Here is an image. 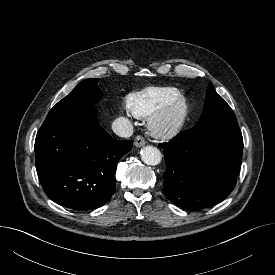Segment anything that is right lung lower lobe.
I'll use <instances>...</instances> for the list:
<instances>
[{
  "label": "right lung lower lobe",
  "mask_w": 275,
  "mask_h": 275,
  "mask_svg": "<svg viewBox=\"0 0 275 275\" xmlns=\"http://www.w3.org/2000/svg\"><path fill=\"white\" fill-rule=\"evenodd\" d=\"M132 145L107 134L94 109L43 123L34 147L40 183L47 196L63 207H101L116 191L118 160Z\"/></svg>",
  "instance_id": "98d812e1"
}]
</instances>
